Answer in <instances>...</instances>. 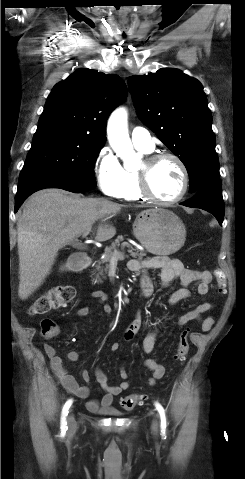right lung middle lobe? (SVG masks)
Returning a JSON list of instances; mask_svg holds the SVG:
<instances>
[{
  "mask_svg": "<svg viewBox=\"0 0 245 479\" xmlns=\"http://www.w3.org/2000/svg\"><path fill=\"white\" fill-rule=\"evenodd\" d=\"M103 145L64 129H37L18 183L55 176L94 188V165Z\"/></svg>",
  "mask_w": 245,
  "mask_h": 479,
  "instance_id": "dd1d6c3e",
  "label": "right lung middle lobe"
}]
</instances>
